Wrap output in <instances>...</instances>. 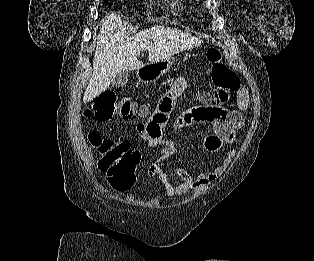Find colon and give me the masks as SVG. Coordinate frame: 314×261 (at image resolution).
I'll return each mask as SVG.
<instances>
[{
  "mask_svg": "<svg viewBox=\"0 0 314 261\" xmlns=\"http://www.w3.org/2000/svg\"><path fill=\"white\" fill-rule=\"evenodd\" d=\"M207 59L211 63L210 77L214 86L212 100L218 104L225 103L239 88V79L222 61L221 53L216 48L208 49ZM138 113V108L131 98L110 89L97 95L91 105L83 111L85 118L101 122H108L115 118L128 120ZM88 139L100 154L99 169L105 173L109 185L117 190L131 187L140 160L139 154L132 151L122 138L105 139L98 133L91 132Z\"/></svg>",
  "mask_w": 314,
  "mask_h": 261,
  "instance_id": "5ec220e1",
  "label": "colon"
}]
</instances>
